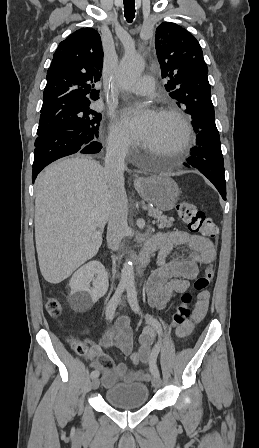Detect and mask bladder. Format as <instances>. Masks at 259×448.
<instances>
[{
	"label": "bladder",
	"mask_w": 259,
	"mask_h": 448,
	"mask_svg": "<svg viewBox=\"0 0 259 448\" xmlns=\"http://www.w3.org/2000/svg\"><path fill=\"white\" fill-rule=\"evenodd\" d=\"M105 399L116 408L134 409L147 403L149 388L142 383H119L106 390Z\"/></svg>",
	"instance_id": "31cf9c89"
}]
</instances>
